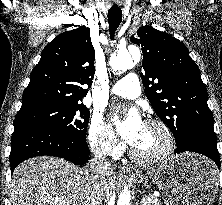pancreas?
Returning a JSON list of instances; mask_svg holds the SVG:
<instances>
[{
  "label": "pancreas",
  "mask_w": 222,
  "mask_h": 205,
  "mask_svg": "<svg viewBox=\"0 0 222 205\" xmlns=\"http://www.w3.org/2000/svg\"><path fill=\"white\" fill-rule=\"evenodd\" d=\"M142 202L143 205H162L161 201L153 196H144Z\"/></svg>",
  "instance_id": "pancreas-1"
}]
</instances>
